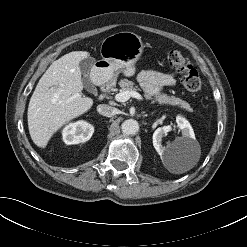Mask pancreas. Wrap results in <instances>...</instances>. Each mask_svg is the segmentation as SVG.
I'll use <instances>...</instances> for the list:
<instances>
[{
	"instance_id": "1",
	"label": "pancreas",
	"mask_w": 247,
	"mask_h": 247,
	"mask_svg": "<svg viewBox=\"0 0 247 247\" xmlns=\"http://www.w3.org/2000/svg\"><path fill=\"white\" fill-rule=\"evenodd\" d=\"M119 85L123 91L139 90V88L137 86H135V84L132 81H129L128 79L120 80ZM153 101H157L160 104H169V105H173V106H179L182 109H185L189 112H192V108L190 107V105L186 101H184L178 97H175V96H169L165 93L157 94L155 96V98L153 99Z\"/></svg>"
}]
</instances>
